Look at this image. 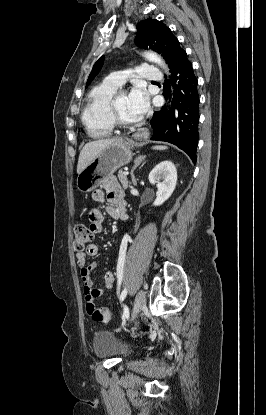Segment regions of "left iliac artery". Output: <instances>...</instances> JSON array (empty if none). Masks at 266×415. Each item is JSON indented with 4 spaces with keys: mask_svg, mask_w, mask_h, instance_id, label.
I'll return each mask as SVG.
<instances>
[{
    "mask_svg": "<svg viewBox=\"0 0 266 415\" xmlns=\"http://www.w3.org/2000/svg\"><path fill=\"white\" fill-rule=\"evenodd\" d=\"M117 278H118V287L120 286L123 278V271L117 272ZM127 295V289H124L120 295V300L123 301Z\"/></svg>",
    "mask_w": 266,
    "mask_h": 415,
    "instance_id": "obj_1",
    "label": "left iliac artery"
}]
</instances>
